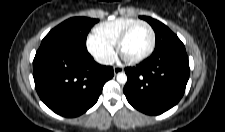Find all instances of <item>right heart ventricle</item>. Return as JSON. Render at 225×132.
I'll use <instances>...</instances> for the list:
<instances>
[{
	"label": "right heart ventricle",
	"instance_id": "1",
	"mask_svg": "<svg viewBox=\"0 0 225 132\" xmlns=\"http://www.w3.org/2000/svg\"><path fill=\"white\" fill-rule=\"evenodd\" d=\"M134 18L120 17L99 23L94 28V36L102 42L115 46L120 34L132 23Z\"/></svg>",
	"mask_w": 225,
	"mask_h": 132
}]
</instances>
